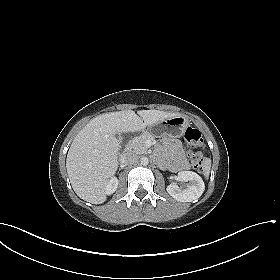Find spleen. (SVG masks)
<instances>
[{
	"label": "spleen",
	"mask_w": 280,
	"mask_h": 280,
	"mask_svg": "<svg viewBox=\"0 0 280 280\" xmlns=\"http://www.w3.org/2000/svg\"><path fill=\"white\" fill-rule=\"evenodd\" d=\"M203 172L205 177L209 176L210 168H211V160L209 158L205 159L202 164Z\"/></svg>",
	"instance_id": "obj_1"
}]
</instances>
